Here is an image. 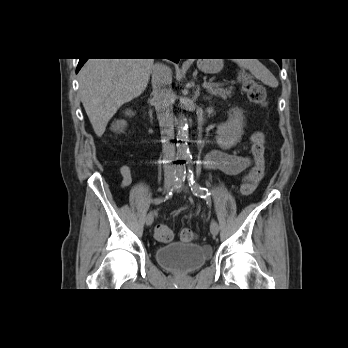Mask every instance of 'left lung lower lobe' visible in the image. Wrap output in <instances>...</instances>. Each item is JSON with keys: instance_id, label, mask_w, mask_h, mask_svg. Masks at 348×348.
I'll use <instances>...</instances> for the list:
<instances>
[{"instance_id": "0a47b994", "label": "left lung lower lobe", "mask_w": 348, "mask_h": 348, "mask_svg": "<svg viewBox=\"0 0 348 348\" xmlns=\"http://www.w3.org/2000/svg\"><path fill=\"white\" fill-rule=\"evenodd\" d=\"M276 61H277V63L279 64V66L282 67L281 60L279 59V60H276Z\"/></svg>"}]
</instances>
